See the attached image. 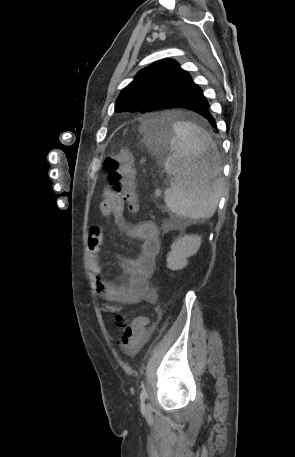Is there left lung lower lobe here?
<instances>
[{"label":"left lung lower lobe","instance_id":"left-lung-lower-lobe-1","mask_svg":"<svg viewBox=\"0 0 295 457\" xmlns=\"http://www.w3.org/2000/svg\"><path fill=\"white\" fill-rule=\"evenodd\" d=\"M168 107H181L192 110L206 118L213 127H216L207 99L204 97L202 90L193 81L191 85L186 86L178 93L160 101L155 110Z\"/></svg>","mask_w":295,"mask_h":457}]
</instances>
